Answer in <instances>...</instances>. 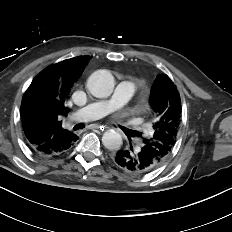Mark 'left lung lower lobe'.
Instances as JSON below:
<instances>
[{
	"label": "left lung lower lobe",
	"instance_id": "obj_1",
	"mask_svg": "<svg viewBox=\"0 0 232 232\" xmlns=\"http://www.w3.org/2000/svg\"><path fill=\"white\" fill-rule=\"evenodd\" d=\"M114 164L126 173L144 175L158 168L161 164L144 149L137 152L133 150H118L112 157Z\"/></svg>",
	"mask_w": 232,
	"mask_h": 232
}]
</instances>
